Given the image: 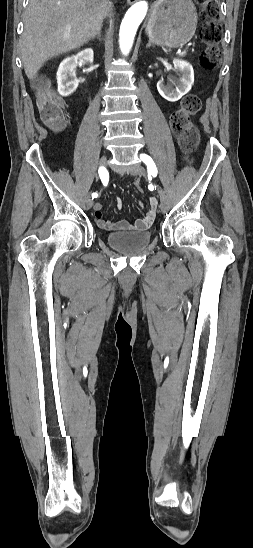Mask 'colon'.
<instances>
[{
  "label": "colon",
  "mask_w": 253,
  "mask_h": 548,
  "mask_svg": "<svg viewBox=\"0 0 253 548\" xmlns=\"http://www.w3.org/2000/svg\"><path fill=\"white\" fill-rule=\"evenodd\" d=\"M201 15L205 22L202 30V39L207 44L206 50L200 58V63L205 69H214L220 62L218 44L221 40L219 26L218 0H197ZM34 91L42 120L49 126L60 128L63 125V104L53 91L50 82L45 78L34 81ZM202 102L198 95H186L180 107L172 114L170 124L172 131L177 136L183 152L192 154L199 144V133L193 125L191 118L201 109ZM140 193L145 191L141 184V178H134Z\"/></svg>",
  "instance_id": "1"
}]
</instances>
